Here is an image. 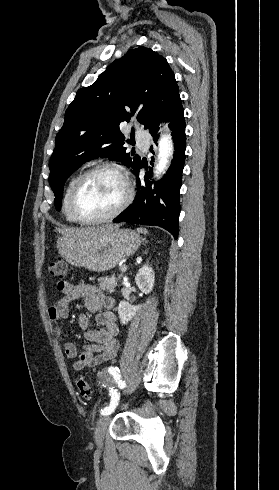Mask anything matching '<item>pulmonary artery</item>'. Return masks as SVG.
<instances>
[{
    "mask_svg": "<svg viewBox=\"0 0 279 490\" xmlns=\"http://www.w3.org/2000/svg\"><path fill=\"white\" fill-rule=\"evenodd\" d=\"M149 134V131L147 128H140L139 131H138V137L139 138H142V137H147ZM141 145L142 146H146V142H141Z\"/></svg>",
    "mask_w": 279,
    "mask_h": 490,
    "instance_id": "1",
    "label": "pulmonary artery"
}]
</instances>
